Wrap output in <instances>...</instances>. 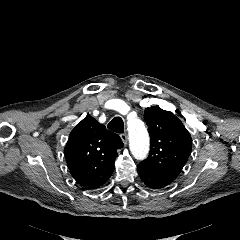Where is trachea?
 <instances>
[{
    "label": "trachea",
    "mask_w": 240,
    "mask_h": 240,
    "mask_svg": "<svg viewBox=\"0 0 240 240\" xmlns=\"http://www.w3.org/2000/svg\"><path fill=\"white\" fill-rule=\"evenodd\" d=\"M108 129L116 132L123 133L124 132V123L120 117H115L112 121L107 125Z\"/></svg>",
    "instance_id": "trachea-1"
}]
</instances>
